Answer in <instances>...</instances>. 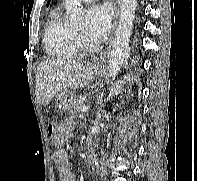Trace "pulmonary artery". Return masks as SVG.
Listing matches in <instances>:
<instances>
[{"mask_svg":"<svg viewBox=\"0 0 197 181\" xmlns=\"http://www.w3.org/2000/svg\"><path fill=\"white\" fill-rule=\"evenodd\" d=\"M82 1L85 2V3H90V2H94L96 0H82Z\"/></svg>","mask_w":197,"mask_h":181,"instance_id":"pulmonary-artery-1","label":"pulmonary artery"}]
</instances>
